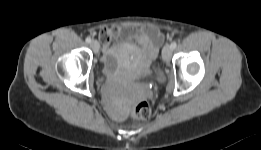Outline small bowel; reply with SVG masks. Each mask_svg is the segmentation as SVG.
Instances as JSON below:
<instances>
[{"mask_svg": "<svg viewBox=\"0 0 261 150\" xmlns=\"http://www.w3.org/2000/svg\"><path fill=\"white\" fill-rule=\"evenodd\" d=\"M124 31L125 30L120 27L104 28L99 34L100 41L103 45L108 46L113 38L120 36ZM126 32L128 36L137 43V46L130 45V48L134 50L140 58L153 60L157 57L159 47L163 42V35L157 28L144 26L136 31Z\"/></svg>", "mask_w": 261, "mask_h": 150, "instance_id": "c3829d8e", "label": "small bowel"}]
</instances>
